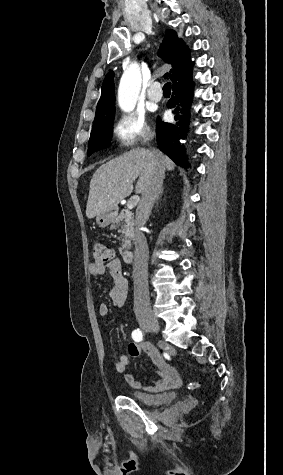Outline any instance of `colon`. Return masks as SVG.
<instances>
[{
  "label": "colon",
  "instance_id": "1",
  "mask_svg": "<svg viewBox=\"0 0 283 475\" xmlns=\"http://www.w3.org/2000/svg\"><path fill=\"white\" fill-rule=\"evenodd\" d=\"M91 254L93 256L95 267L103 266L105 264H112L114 259L113 249L98 242L92 244Z\"/></svg>",
  "mask_w": 283,
  "mask_h": 475
}]
</instances>
